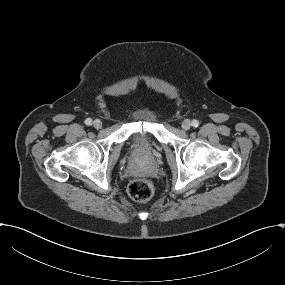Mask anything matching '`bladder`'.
<instances>
[{
    "label": "bladder",
    "mask_w": 285,
    "mask_h": 285,
    "mask_svg": "<svg viewBox=\"0 0 285 285\" xmlns=\"http://www.w3.org/2000/svg\"><path fill=\"white\" fill-rule=\"evenodd\" d=\"M133 114L139 118H147L151 122L156 119L154 113L143 108L135 109ZM157 147V139L146 132L136 133L129 142L130 150L135 152L153 154L157 150Z\"/></svg>",
    "instance_id": "bladder-1"
}]
</instances>
